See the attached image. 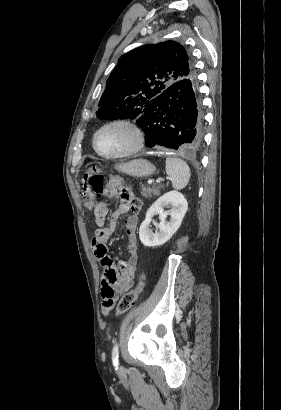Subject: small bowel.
I'll return each instance as SVG.
<instances>
[{
	"mask_svg": "<svg viewBox=\"0 0 281 410\" xmlns=\"http://www.w3.org/2000/svg\"><path fill=\"white\" fill-rule=\"evenodd\" d=\"M121 180L117 176L110 179L109 195H113L119 186ZM140 209V201L135 197L132 191H125L121 196V202L116 212L109 216L108 206L105 202L100 201L95 205L94 216L97 229L91 241L94 256L103 268L101 281V296L103 302L109 296L112 297L113 304L116 298L127 292L134 283V277L138 260V245L136 230L139 218L137 215ZM129 211L131 215L126 217L124 223L128 237L127 252L129 258L127 261H114L108 255L107 241L116 228L119 218ZM109 310L103 308V313L107 314Z\"/></svg>",
	"mask_w": 281,
	"mask_h": 410,
	"instance_id": "obj_1",
	"label": "small bowel"
}]
</instances>
